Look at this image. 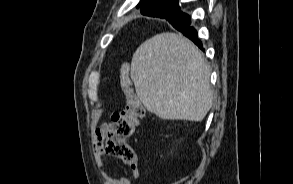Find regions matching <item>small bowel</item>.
I'll list each match as a JSON object with an SVG mask.
<instances>
[{
	"instance_id": "c3829d8e",
	"label": "small bowel",
	"mask_w": 293,
	"mask_h": 184,
	"mask_svg": "<svg viewBox=\"0 0 293 184\" xmlns=\"http://www.w3.org/2000/svg\"><path fill=\"white\" fill-rule=\"evenodd\" d=\"M108 130V124L102 123L94 132L93 143H94V154L95 159L99 167H107V163L102 157V143L105 138L106 132ZM131 171L134 178L139 177V168L137 162L131 164ZM104 184H130V180L126 176H112L106 173H103Z\"/></svg>"
}]
</instances>
